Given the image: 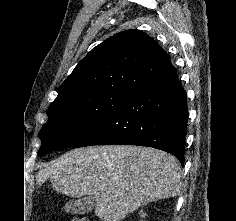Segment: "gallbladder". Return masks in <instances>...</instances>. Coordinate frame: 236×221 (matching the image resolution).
<instances>
[{"mask_svg": "<svg viewBox=\"0 0 236 221\" xmlns=\"http://www.w3.org/2000/svg\"><path fill=\"white\" fill-rule=\"evenodd\" d=\"M96 201L92 195H88L75 200H70L64 206L66 212L71 214H85L92 211Z\"/></svg>", "mask_w": 236, "mask_h": 221, "instance_id": "1", "label": "gallbladder"}]
</instances>
